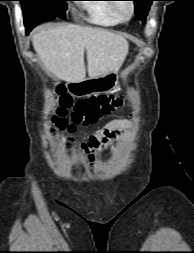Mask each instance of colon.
<instances>
[{
    "mask_svg": "<svg viewBox=\"0 0 194 253\" xmlns=\"http://www.w3.org/2000/svg\"><path fill=\"white\" fill-rule=\"evenodd\" d=\"M59 117L55 118L56 125L61 130L75 131L77 126H87L97 122L122 105L123 98L116 94H101L77 101L72 107V100L63 89L59 91ZM72 107L70 120L66 119L68 109Z\"/></svg>",
    "mask_w": 194,
    "mask_h": 253,
    "instance_id": "obj_1",
    "label": "colon"
}]
</instances>
